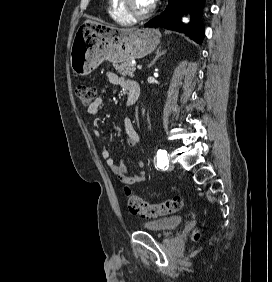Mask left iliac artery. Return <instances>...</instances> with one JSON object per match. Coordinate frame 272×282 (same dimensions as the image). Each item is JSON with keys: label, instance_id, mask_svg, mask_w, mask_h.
Here are the masks:
<instances>
[{"label": "left iliac artery", "instance_id": "obj_1", "mask_svg": "<svg viewBox=\"0 0 272 282\" xmlns=\"http://www.w3.org/2000/svg\"><path fill=\"white\" fill-rule=\"evenodd\" d=\"M157 167L160 169H164L168 166V157H167V151L159 149L157 152V158H156Z\"/></svg>", "mask_w": 272, "mask_h": 282}]
</instances>
